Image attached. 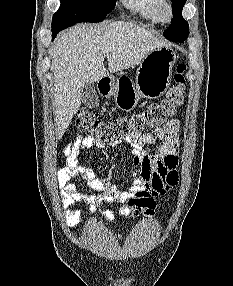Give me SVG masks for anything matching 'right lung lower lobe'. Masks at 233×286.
<instances>
[{
  "instance_id": "obj_1",
  "label": "right lung lower lobe",
  "mask_w": 233,
  "mask_h": 286,
  "mask_svg": "<svg viewBox=\"0 0 233 286\" xmlns=\"http://www.w3.org/2000/svg\"><path fill=\"white\" fill-rule=\"evenodd\" d=\"M70 27L69 25H61L58 27H53L52 28V39H54L56 37V35L63 29Z\"/></svg>"
}]
</instances>
